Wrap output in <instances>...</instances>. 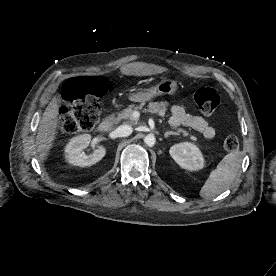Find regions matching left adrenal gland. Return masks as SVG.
Listing matches in <instances>:
<instances>
[{"label": "left adrenal gland", "instance_id": "a2214340", "mask_svg": "<svg viewBox=\"0 0 276 276\" xmlns=\"http://www.w3.org/2000/svg\"><path fill=\"white\" fill-rule=\"evenodd\" d=\"M169 135H178L176 132H173V131H167L165 134H164V137L165 138H168Z\"/></svg>", "mask_w": 276, "mask_h": 276}]
</instances>
